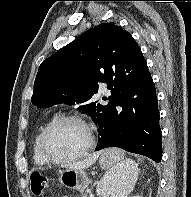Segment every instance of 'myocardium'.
<instances>
[{
	"label": "myocardium",
	"instance_id": "myocardium-1",
	"mask_svg": "<svg viewBox=\"0 0 191 197\" xmlns=\"http://www.w3.org/2000/svg\"><path fill=\"white\" fill-rule=\"evenodd\" d=\"M66 121H76L82 124L88 131L89 141L87 146L80 153L70 157H57L51 154L47 149L46 138L49 132L55 126ZM95 145H96V136L93 126L85 118L77 114L60 115L50 120L41 131V134L39 136V142H38L39 151L42 157L45 160H47L49 163H53V164H63V163H69L79 160L84 156H86L95 147Z\"/></svg>",
	"mask_w": 191,
	"mask_h": 197
}]
</instances>
